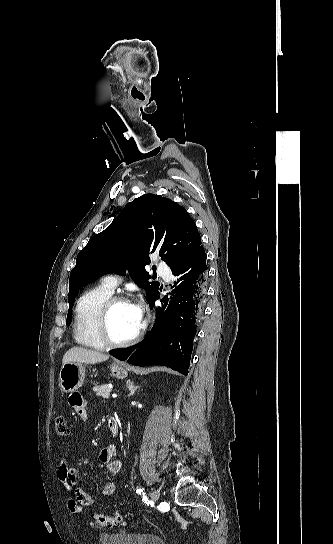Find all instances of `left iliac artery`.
Listing matches in <instances>:
<instances>
[{
  "label": "left iliac artery",
  "mask_w": 333,
  "mask_h": 544,
  "mask_svg": "<svg viewBox=\"0 0 333 544\" xmlns=\"http://www.w3.org/2000/svg\"><path fill=\"white\" fill-rule=\"evenodd\" d=\"M136 492H137V493L143 492V488H142L141 486H140V487H137Z\"/></svg>",
  "instance_id": "44dca946"
}]
</instances>
